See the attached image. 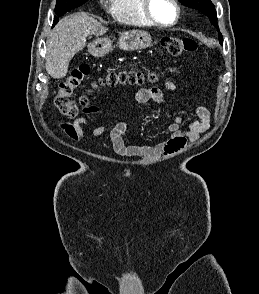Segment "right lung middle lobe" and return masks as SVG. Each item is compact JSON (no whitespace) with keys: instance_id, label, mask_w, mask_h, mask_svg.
<instances>
[{"instance_id":"right-lung-middle-lobe-1","label":"right lung middle lobe","mask_w":259,"mask_h":294,"mask_svg":"<svg viewBox=\"0 0 259 294\" xmlns=\"http://www.w3.org/2000/svg\"><path fill=\"white\" fill-rule=\"evenodd\" d=\"M87 0H57L55 13L57 16H62L66 12H69L72 9H75L85 3ZM59 21V19L54 17L53 26Z\"/></svg>"}]
</instances>
